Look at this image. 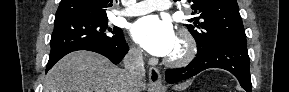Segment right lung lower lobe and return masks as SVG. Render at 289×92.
<instances>
[{
  "label": "right lung lower lobe",
  "instance_id": "right-lung-lower-lobe-1",
  "mask_svg": "<svg viewBox=\"0 0 289 92\" xmlns=\"http://www.w3.org/2000/svg\"><path fill=\"white\" fill-rule=\"evenodd\" d=\"M128 49L129 47L124 37L112 44L87 43V44H82L79 46L67 48V49L59 51L58 53L54 55L49 56V61L46 66V72L49 69H51L58 60H60L66 54L73 52V51L88 50V51L97 52L109 58L114 64H118L125 56Z\"/></svg>",
  "mask_w": 289,
  "mask_h": 92
}]
</instances>
